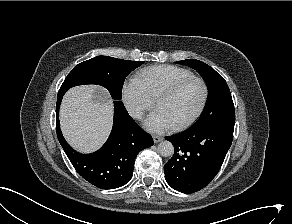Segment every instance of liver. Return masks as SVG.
<instances>
[{"instance_id": "liver-1", "label": "liver", "mask_w": 292, "mask_h": 224, "mask_svg": "<svg viewBox=\"0 0 292 224\" xmlns=\"http://www.w3.org/2000/svg\"><path fill=\"white\" fill-rule=\"evenodd\" d=\"M112 116V100L105 89L95 85L71 88L61 104L62 133L74 149L92 152L106 140Z\"/></svg>"}]
</instances>
